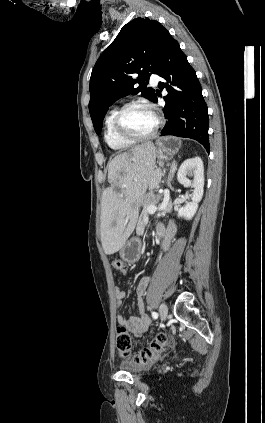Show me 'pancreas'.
<instances>
[{
  "label": "pancreas",
  "mask_w": 265,
  "mask_h": 423,
  "mask_svg": "<svg viewBox=\"0 0 265 423\" xmlns=\"http://www.w3.org/2000/svg\"><path fill=\"white\" fill-rule=\"evenodd\" d=\"M159 201V197L155 196L153 192L148 193L142 202V212L140 214L138 223H137V232L140 234L144 231L145 228V220L148 216L147 207L150 205H156ZM172 211L171 201L168 203L166 208L164 209V213H170Z\"/></svg>",
  "instance_id": "obj_1"
}]
</instances>
